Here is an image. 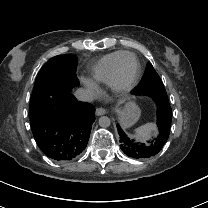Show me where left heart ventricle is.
<instances>
[{
	"label": "left heart ventricle",
	"mask_w": 208,
	"mask_h": 208,
	"mask_svg": "<svg viewBox=\"0 0 208 208\" xmlns=\"http://www.w3.org/2000/svg\"><path fill=\"white\" fill-rule=\"evenodd\" d=\"M135 70V65H132L127 71H126V76L129 77L132 75V73Z\"/></svg>",
	"instance_id": "1"
}]
</instances>
